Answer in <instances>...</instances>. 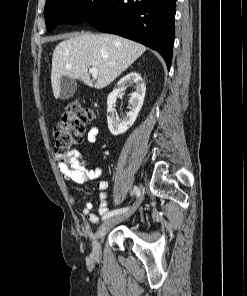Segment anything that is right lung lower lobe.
<instances>
[{
	"instance_id": "98d812e1",
	"label": "right lung lower lobe",
	"mask_w": 247,
	"mask_h": 296,
	"mask_svg": "<svg viewBox=\"0 0 247 296\" xmlns=\"http://www.w3.org/2000/svg\"><path fill=\"white\" fill-rule=\"evenodd\" d=\"M176 0H109L90 24L96 29L134 40L159 52L168 70L175 36Z\"/></svg>"
}]
</instances>
